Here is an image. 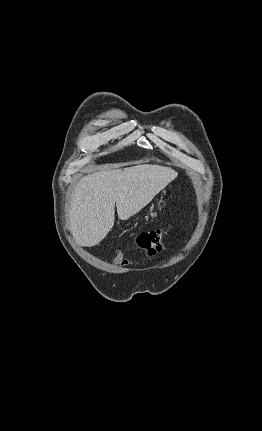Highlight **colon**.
Returning a JSON list of instances; mask_svg holds the SVG:
<instances>
[{"mask_svg": "<svg viewBox=\"0 0 262 431\" xmlns=\"http://www.w3.org/2000/svg\"><path fill=\"white\" fill-rule=\"evenodd\" d=\"M135 245L146 254L153 255L164 246V231L158 229L144 232L137 237Z\"/></svg>", "mask_w": 262, "mask_h": 431, "instance_id": "1", "label": "colon"}]
</instances>
